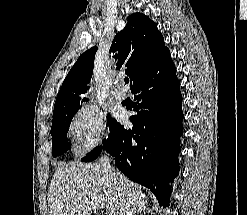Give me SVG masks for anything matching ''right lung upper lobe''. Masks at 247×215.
<instances>
[{"instance_id":"1","label":"right lung upper lobe","mask_w":247,"mask_h":215,"mask_svg":"<svg viewBox=\"0 0 247 215\" xmlns=\"http://www.w3.org/2000/svg\"><path fill=\"white\" fill-rule=\"evenodd\" d=\"M97 47L83 53L74 64L59 91L53 114L80 103L79 94L86 92L93 73ZM168 51L157 25L142 13H133L125 28L116 34L110 53L117 59V68H126L125 73L133 83L154 67ZM86 99L83 98L82 101Z\"/></svg>"}]
</instances>
